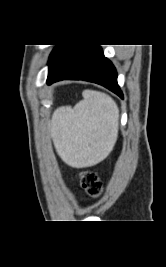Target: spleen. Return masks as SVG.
<instances>
[{"instance_id": "1", "label": "spleen", "mask_w": 166, "mask_h": 267, "mask_svg": "<svg viewBox=\"0 0 166 267\" xmlns=\"http://www.w3.org/2000/svg\"><path fill=\"white\" fill-rule=\"evenodd\" d=\"M74 108L57 109L51 120L54 145L72 167L93 166L104 160L116 143L119 109L105 93L84 90Z\"/></svg>"}]
</instances>
